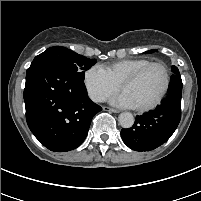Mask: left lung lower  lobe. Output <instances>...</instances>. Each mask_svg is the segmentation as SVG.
Segmentation results:
<instances>
[{
  "mask_svg": "<svg viewBox=\"0 0 201 201\" xmlns=\"http://www.w3.org/2000/svg\"><path fill=\"white\" fill-rule=\"evenodd\" d=\"M182 80L173 74L168 95L155 109L137 116L134 125L121 130L123 142L135 151H150L165 143L181 119Z\"/></svg>",
  "mask_w": 201,
  "mask_h": 201,
  "instance_id": "0a47b994",
  "label": "left lung lower lobe"
}]
</instances>
